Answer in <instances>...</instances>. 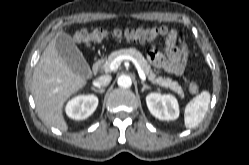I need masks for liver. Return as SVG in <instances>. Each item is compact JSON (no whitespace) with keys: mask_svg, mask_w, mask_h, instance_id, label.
Here are the masks:
<instances>
[{"mask_svg":"<svg viewBox=\"0 0 249 165\" xmlns=\"http://www.w3.org/2000/svg\"><path fill=\"white\" fill-rule=\"evenodd\" d=\"M55 42L56 37L45 48L34 69L31 92L40 119L47 125L67 131L63 105L87 84V79L66 64L58 54Z\"/></svg>","mask_w":249,"mask_h":165,"instance_id":"6515ba94","label":"liver"}]
</instances>
